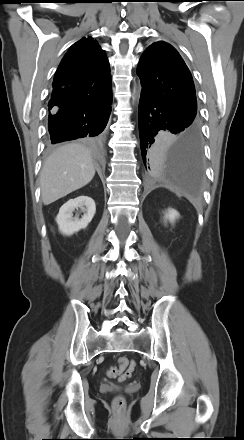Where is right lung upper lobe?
<instances>
[{"label":"right lung upper lobe","mask_w":244,"mask_h":440,"mask_svg":"<svg viewBox=\"0 0 244 440\" xmlns=\"http://www.w3.org/2000/svg\"><path fill=\"white\" fill-rule=\"evenodd\" d=\"M110 96L111 75L106 54L91 37L79 40L55 73L50 113L93 107Z\"/></svg>","instance_id":"cb5924a9"}]
</instances>
